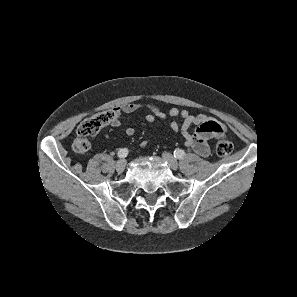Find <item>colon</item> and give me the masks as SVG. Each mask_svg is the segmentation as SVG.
<instances>
[{"label":"colon","instance_id":"1","mask_svg":"<svg viewBox=\"0 0 297 297\" xmlns=\"http://www.w3.org/2000/svg\"><path fill=\"white\" fill-rule=\"evenodd\" d=\"M116 118L115 111H103L83 120L77 127V137L72 144L76 154H85L90 149L89 138L96 135L101 128L113 122ZM233 145L225 135H222L217 144L216 152L219 156H228Z\"/></svg>","mask_w":297,"mask_h":297}]
</instances>
